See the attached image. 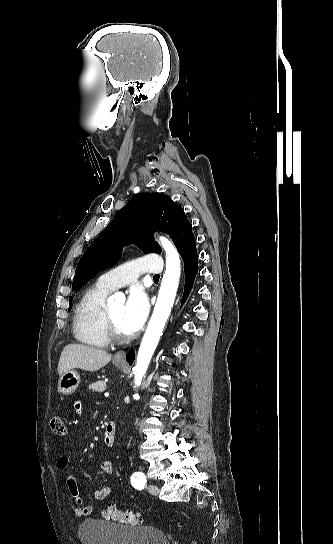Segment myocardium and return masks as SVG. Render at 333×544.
<instances>
[{"mask_svg": "<svg viewBox=\"0 0 333 544\" xmlns=\"http://www.w3.org/2000/svg\"><path fill=\"white\" fill-rule=\"evenodd\" d=\"M105 322L106 327L108 331L109 338L116 341V342H126L129 340V335L123 334L118 329L117 325L115 324L114 320L112 319L108 308L105 309Z\"/></svg>", "mask_w": 333, "mask_h": 544, "instance_id": "myocardium-1", "label": "myocardium"}]
</instances>
